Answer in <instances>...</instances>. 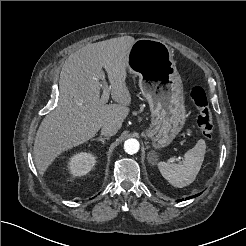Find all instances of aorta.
<instances>
[{
    "instance_id": "762f6f07",
    "label": "aorta",
    "mask_w": 246,
    "mask_h": 246,
    "mask_svg": "<svg viewBox=\"0 0 246 246\" xmlns=\"http://www.w3.org/2000/svg\"><path fill=\"white\" fill-rule=\"evenodd\" d=\"M140 144L138 140L134 138H129L124 143V150L128 154H135L139 151Z\"/></svg>"
}]
</instances>
